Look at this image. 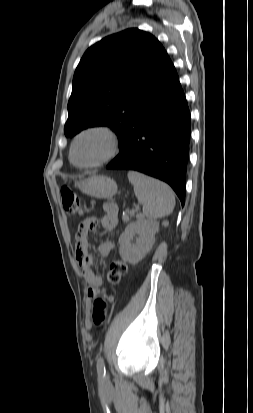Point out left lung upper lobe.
I'll list each match as a JSON object with an SVG mask.
<instances>
[{"label": "left lung upper lobe", "mask_w": 253, "mask_h": 413, "mask_svg": "<svg viewBox=\"0 0 253 413\" xmlns=\"http://www.w3.org/2000/svg\"><path fill=\"white\" fill-rule=\"evenodd\" d=\"M170 63L161 43L138 29L91 46L74 73L65 135L104 125L116 132L121 145L129 123Z\"/></svg>", "instance_id": "obj_1"}]
</instances>
